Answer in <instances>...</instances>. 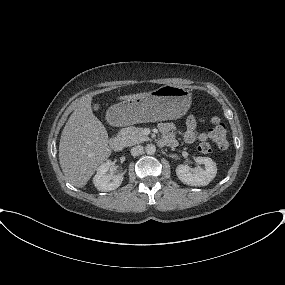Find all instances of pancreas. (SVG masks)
Returning a JSON list of instances; mask_svg holds the SVG:
<instances>
[{
    "label": "pancreas",
    "mask_w": 285,
    "mask_h": 285,
    "mask_svg": "<svg viewBox=\"0 0 285 285\" xmlns=\"http://www.w3.org/2000/svg\"><path fill=\"white\" fill-rule=\"evenodd\" d=\"M120 137L126 146H132L150 140L144 135L143 128L126 127L120 131Z\"/></svg>",
    "instance_id": "cf45deb5"
}]
</instances>
